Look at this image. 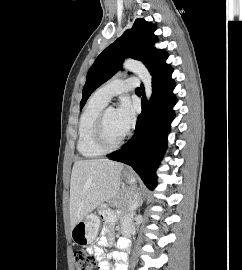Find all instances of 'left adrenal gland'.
Listing matches in <instances>:
<instances>
[{
	"label": "left adrenal gland",
	"mask_w": 242,
	"mask_h": 270,
	"mask_svg": "<svg viewBox=\"0 0 242 270\" xmlns=\"http://www.w3.org/2000/svg\"><path fill=\"white\" fill-rule=\"evenodd\" d=\"M136 199H137V205H136V208H135V211L142 205L143 203V200L140 198V196L137 194L136 195Z\"/></svg>",
	"instance_id": "1"
}]
</instances>
